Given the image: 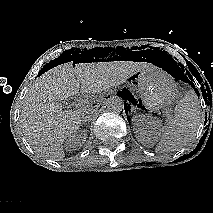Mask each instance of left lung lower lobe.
Instances as JSON below:
<instances>
[{
	"mask_svg": "<svg viewBox=\"0 0 213 213\" xmlns=\"http://www.w3.org/2000/svg\"><path fill=\"white\" fill-rule=\"evenodd\" d=\"M194 90H195V88H194ZM197 94H199V93H197ZM118 95L120 97H122L124 100H126V99H128L129 92L124 89L123 91L118 92ZM125 103H126V101H125ZM125 103H124V106H125ZM122 111H121V113H122Z\"/></svg>",
	"mask_w": 213,
	"mask_h": 213,
	"instance_id": "obj_1",
	"label": "left lung lower lobe"
}]
</instances>
